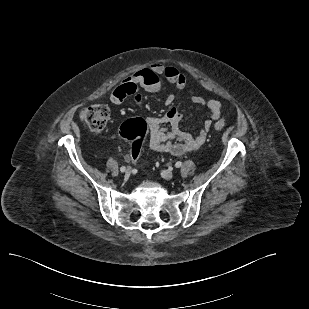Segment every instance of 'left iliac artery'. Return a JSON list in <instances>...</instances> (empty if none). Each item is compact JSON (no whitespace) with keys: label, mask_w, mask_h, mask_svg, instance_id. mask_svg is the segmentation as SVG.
Returning <instances> with one entry per match:
<instances>
[{"label":"left iliac artery","mask_w":309,"mask_h":309,"mask_svg":"<svg viewBox=\"0 0 309 309\" xmlns=\"http://www.w3.org/2000/svg\"><path fill=\"white\" fill-rule=\"evenodd\" d=\"M181 166H182V162L181 161H178V162L175 163V167L176 168H179Z\"/></svg>","instance_id":"44dca946"}]
</instances>
